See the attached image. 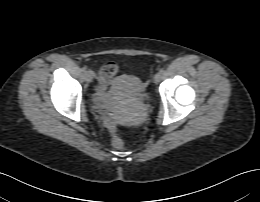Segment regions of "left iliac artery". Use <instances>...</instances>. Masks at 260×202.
<instances>
[{
    "instance_id": "obj_1",
    "label": "left iliac artery",
    "mask_w": 260,
    "mask_h": 202,
    "mask_svg": "<svg viewBox=\"0 0 260 202\" xmlns=\"http://www.w3.org/2000/svg\"><path fill=\"white\" fill-rule=\"evenodd\" d=\"M161 74H164L165 73V70L162 68V69H160V71H159Z\"/></svg>"
}]
</instances>
